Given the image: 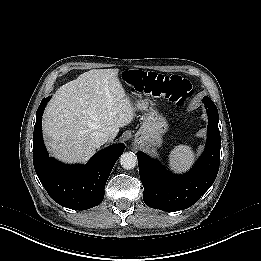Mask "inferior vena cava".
Returning <instances> with one entry per match:
<instances>
[{
  "mask_svg": "<svg viewBox=\"0 0 261 261\" xmlns=\"http://www.w3.org/2000/svg\"><path fill=\"white\" fill-rule=\"evenodd\" d=\"M110 140L109 136L103 132H94L92 136V143L96 148H99Z\"/></svg>",
  "mask_w": 261,
  "mask_h": 261,
  "instance_id": "obj_1",
  "label": "inferior vena cava"
}]
</instances>
